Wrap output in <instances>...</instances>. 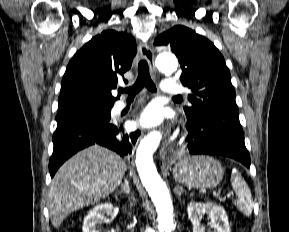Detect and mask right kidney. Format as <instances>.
<instances>
[{"instance_id":"right-kidney-1","label":"right kidney","mask_w":289,"mask_h":232,"mask_svg":"<svg viewBox=\"0 0 289 232\" xmlns=\"http://www.w3.org/2000/svg\"><path fill=\"white\" fill-rule=\"evenodd\" d=\"M113 210L111 203L96 205L91 209L84 218L82 231L83 232H99L98 225L106 221V216L110 215Z\"/></svg>"}]
</instances>
